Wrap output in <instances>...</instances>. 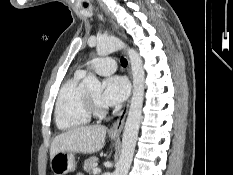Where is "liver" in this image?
<instances>
[{
	"label": "liver",
	"instance_id": "6515ba94",
	"mask_svg": "<svg viewBox=\"0 0 233 175\" xmlns=\"http://www.w3.org/2000/svg\"><path fill=\"white\" fill-rule=\"evenodd\" d=\"M106 127L101 125L81 126L56 136L50 148V158L59 152L92 154L104 146Z\"/></svg>",
	"mask_w": 233,
	"mask_h": 175
}]
</instances>
